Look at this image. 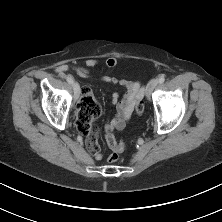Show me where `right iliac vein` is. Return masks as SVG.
<instances>
[{
	"mask_svg": "<svg viewBox=\"0 0 222 222\" xmlns=\"http://www.w3.org/2000/svg\"><path fill=\"white\" fill-rule=\"evenodd\" d=\"M73 89H74V98L78 99L80 96V86L77 82L73 83Z\"/></svg>",
	"mask_w": 222,
	"mask_h": 222,
	"instance_id": "1",
	"label": "right iliac vein"
}]
</instances>
